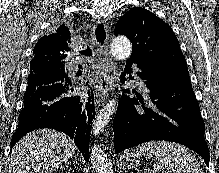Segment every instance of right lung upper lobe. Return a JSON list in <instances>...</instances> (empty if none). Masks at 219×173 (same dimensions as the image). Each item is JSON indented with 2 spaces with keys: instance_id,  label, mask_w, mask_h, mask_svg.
Returning a JSON list of instances; mask_svg holds the SVG:
<instances>
[{
  "instance_id": "1",
  "label": "right lung upper lobe",
  "mask_w": 219,
  "mask_h": 173,
  "mask_svg": "<svg viewBox=\"0 0 219 173\" xmlns=\"http://www.w3.org/2000/svg\"><path fill=\"white\" fill-rule=\"evenodd\" d=\"M69 39L70 32L65 25H61L57 33L40 38L34 47L30 68L34 70L42 66H64V59L70 51L67 46Z\"/></svg>"
}]
</instances>
